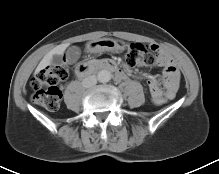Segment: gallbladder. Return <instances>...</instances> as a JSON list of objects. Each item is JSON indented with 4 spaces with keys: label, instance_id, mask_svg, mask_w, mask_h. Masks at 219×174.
Wrapping results in <instances>:
<instances>
[{
    "label": "gallbladder",
    "instance_id": "1",
    "mask_svg": "<svg viewBox=\"0 0 219 174\" xmlns=\"http://www.w3.org/2000/svg\"><path fill=\"white\" fill-rule=\"evenodd\" d=\"M67 54H68V61L73 63L79 59L81 55V50L77 46H72L68 48Z\"/></svg>",
    "mask_w": 219,
    "mask_h": 174
}]
</instances>
